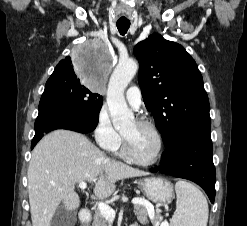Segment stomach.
<instances>
[{
	"instance_id": "0dacf381",
	"label": "stomach",
	"mask_w": 247,
	"mask_h": 226,
	"mask_svg": "<svg viewBox=\"0 0 247 226\" xmlns=\"http://www.w3.org/2000/svg\"><path fill=\"white\" fill-rule=\"evenodd\" d=\"M144 195L155 203L169 204L174 198L173 185L161 177H148L137 181Z\"/></svg>"
}]
</instances>
